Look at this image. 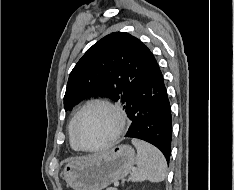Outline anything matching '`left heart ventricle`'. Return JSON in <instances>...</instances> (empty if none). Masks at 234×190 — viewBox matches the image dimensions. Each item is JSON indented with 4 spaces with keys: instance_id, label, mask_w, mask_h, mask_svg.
I'll list each match as a JSON object with an SVG mask.
<instances>
[{
    "instance_id": "b2bd125f",
    "label": "left heart ventricle",
    "mask_w": 234,
    "mask_h": 190,
    "mask_svg": "<svg viewBox=\"0 0 234 190\" xmlns=\"http://www.w3.org/2000/svg\"><path fill=\"white\" fill-rule=\"evenodd\" d=\"M116 119L106 108L94 106L81 117L77 127V140L86 147L106 141L116 129Z\"/></svg>"
}]
</instances>
